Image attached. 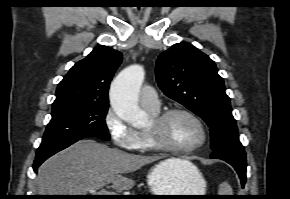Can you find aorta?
<instances>
[{"mask_svg": "<svg viewBox=\"0 0 290 199\" xmlns=\"http://www.w3.org/2000/svg\"><path fill=\"white\" fill-rule=\"evenodd\" d=\"M144 76L142 66H129L117 75L110 89L112 108L118 116L136 128L149 124L147 113L138 106V93Z\"/></svg>", "mask_w": 290, "mask_h": 199, "instance_id": "obj_1", "label": "aorta"}]
</instances>
